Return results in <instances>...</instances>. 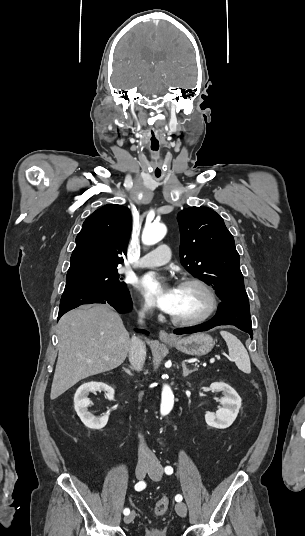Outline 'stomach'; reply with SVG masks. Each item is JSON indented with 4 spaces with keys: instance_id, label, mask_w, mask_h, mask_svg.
Masks as SVG:
<instances>
[{
    "instance_id": "1",
    "label": "stomach",
    "mask_w": 305,
    "mask_h": 536,
    "mask_svg": "<svg viewBox=\"0 0 305 536\" xmlns=\"http://www.w3.org/2000/svg\"><path fill=\"white\" fill-rule=\"evenodd\" d=\"M167 344H171L176 350L183 352V354H189V356H205L214 348L213 338L209 334H203V332L192 334L187 338H176Z\"/></svg>"
}]
</instances>
